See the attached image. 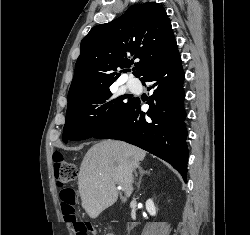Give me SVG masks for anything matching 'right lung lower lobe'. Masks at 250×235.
I'll use <instances>...</instances> for the list:
<instances>
[{"instance_id": "obj_1", "label": "right lung lower lobe", "mask_w": 250, "mask_h": 235, "mask_svg": "<svg viewBox=\"0 0 250 235\" xmlns=\"http://www.w3.org/2000/svg\"><path fill=\"white\" fill-rule=\"evenodd\" d=\"M151 83L146 112L132 99L129 106L94 138L124 140L170 163L187 181L188 150L184 126V72L176 41L164 58L141 77Z\"/></svg>"}]
</instances>
